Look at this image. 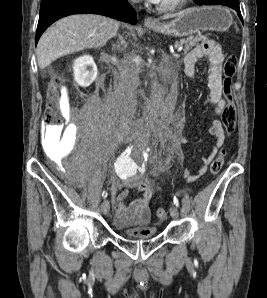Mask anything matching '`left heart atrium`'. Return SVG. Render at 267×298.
Returning <instances> with one entry per match:
<instances>
[{"mask_svg":"<svg viewBox=\"0 0 267 298\" xmlns=\"http://www.w3.org/2000/svg\"><path fill=\"white\" fill-rule=\"evenodd\" d=\"M149 1H151L153 3H159L161 0H149Z\"/></svg>","mask_w":267,"mask_h":298,"instance_id":"1","label":"left heart atrium"}]
</instances>
